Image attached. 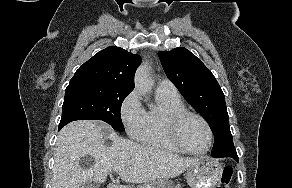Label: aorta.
Masks as SVG:
<instances>
[{
  "mask_svg": "<svg viewBox=\"0 0 292 188\" xmlns=\"http://www.w3.org/2000/svg\"><path fill=\"white\" fill-rule=\"evenodd\" d=\"M152 80L149 76V67L147 64L141 65L135 74V88L141 93L146 94L151 90Z\"/></svg>",
  "mask_w": 292,
  "mask_h": 188,
  "instance_id": "obj_1",
  "label": "aorta"
}]
</instances>
